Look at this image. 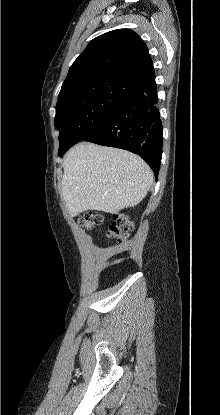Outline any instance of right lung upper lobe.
Masks as SVG:
<instances>
[{
  "label": "right lung upper lobe",
  "mask_w": 220,
  "mask_h": 415,
  "mask_svg": "<svg viewBox=\"0 0 220 415\" xmlns=\"http://www.w3.org/2000/svg\"><path fill=\"white\" fill-rule=\"evenodd\" d=\"M155 72L144 41L132 30L117 29L94 38L71 65L61 91L80 82L118 78L135 86Z\"/></svg>",
  "instance_id": "right-lung-upper-lobe-1"
}]
</instances>
